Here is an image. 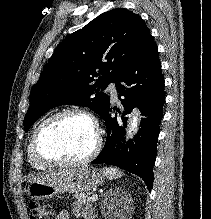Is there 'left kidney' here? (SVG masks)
<instances>
[{
	"mask_svg": "<svg viewBox=\"0 0 211 219\" xmlns=\"http://www.w3.org/2000/svg\"><path fill=\"white\" fill-rule=\"evenodd\" d=\"M117 192H118V191H117ZM122 194H124V197L122 196V198H123V199H121V200H124V199H125V197H127V195H126V193H125V192H122ZM119 204H121V205H122L123 203H122V202H120Z\"/></svg>",
	"mask_w": 211,
	"mask_h": 219,
	"instance_id": "5707ae66",
	"label": "left kidney"
}]
</instances>
